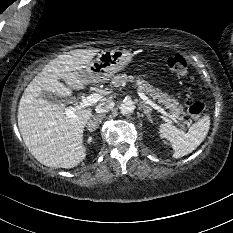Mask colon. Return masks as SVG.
Listing matches in <instances>:
<instances>
[{
	"mask_svg": "<svg viewBox=\"0 0 233 233\" xmlns=\"http://www.w3.org/2000/svg\"><path fill=\"white\" fill-rule=\"evenodd\" d=\"M169 68L177 75L185 77L188 74L187 61L181 55H172L168 58ZM186 108L191 116L199 117L205 110V104L201 100L190 99L186 103Z\"/></svg>",
	"mask_w": 233,
	"mask_h": 233,
	"instance_id": "5ec220e1",
	"label": "colon"
}]
</instances>
